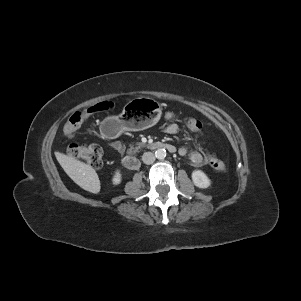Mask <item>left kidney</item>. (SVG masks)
<instances>
[{
  "label": "left kidney",
  "instance_id": "left-kidney-1",
  "mask_svg": "<svg viewBox=\"0 0 301 301\" xmlns=\"http://www.w3.org/2000/svg\"><path fill=\"white\" fill-rule=\"evenodd\" d=\"M192 181L194 185L201 189H206L210 186V179L207 175L201 170H194L192 172Z\"/></svg>",
  "mask_w": 301,
  "mask_h": 301
}]
</instances>
